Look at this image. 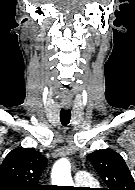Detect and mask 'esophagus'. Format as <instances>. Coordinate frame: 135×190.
Instances as JSON below:
<instances>
[{"label":"esophagus","mask_w":135,"mask_h":190,"mask_svg":"<svg viewBox=\"0 0 135 190\" xmlns=\"http://www.w3.org/2000/svg\"><path fill=\"white\" fill-rule=\"evenodd\" d=\"M63 107H64L65 109H68V108L70 107V104H67V103H66V104L63 105Z\"/></svg>","instance_id":"1"}]
</instances>
